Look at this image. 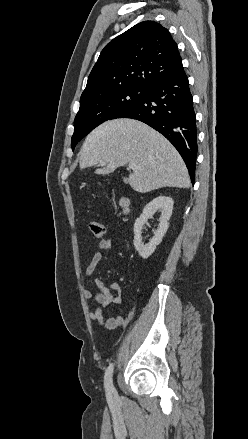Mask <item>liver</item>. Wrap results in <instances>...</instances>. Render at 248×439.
Returning <instances> with one entry per match:
<instances>
[{"label": "liver", "instance_id": "1", "mask_svg": "<svg viewBox=\"0 0 248 439\" xmlns=\"http://www.w3.org/2000/svg\"><path fill=\"white\" fill-rule=\"evenodd\" d=\"M104 162L96 174H110L127 163H136L128 182L147 193L163 187L188 188L186 165L173 145L148 125L133 119H114L94 129L81 148L80 169Z\"/></svg>", "mask_w": 248, "mask_h": 439}]
</instances>
